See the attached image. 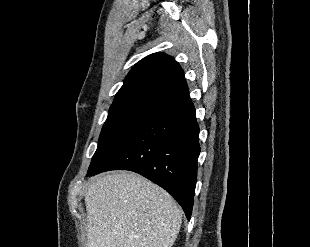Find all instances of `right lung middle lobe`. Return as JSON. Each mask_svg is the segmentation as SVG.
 <instances>
[{
  "mask_svg": "<svg viewBox=\"0 0 310 247\" xmlns=\"http://www.w3.org/2000/svg\"><path fill=\"white\" fill-rule=\"evenodd\" d=\"M157 113H159L158 110L146 106L109 112L88 172L105 163L142 125Z\"/></svg>",
  "mask_w": 310,
  "mask_h": 247,
  "instance_id": "obj_1",
  "label": "right lung middle lobe"
}]
</instances>
